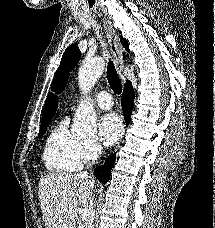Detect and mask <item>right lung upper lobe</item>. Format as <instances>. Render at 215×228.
Returning <instances> with one entry per match:
<instances>
[{
    "instance_id": "cb5924a9",
    "label": "right lung upper lobe",
    "mask_w": 215,
    "mask_h": 228,
    "mask_svg": "<svg viewBox=\"0 0 215 228\" xmlns=\"http://www.w3.org/2000/svg\"><path fill=\"white\" fill-rule=\"evenodd\" d=\"M125 57V54H124ZM58 99L49 93L42 117V124L50 123L57 109Z\"/></svg>"
}]
</instances>
